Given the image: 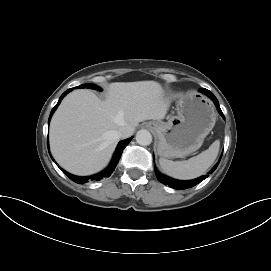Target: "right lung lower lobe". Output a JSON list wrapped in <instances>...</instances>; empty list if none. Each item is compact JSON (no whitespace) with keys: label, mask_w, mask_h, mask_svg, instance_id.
<instances>
[{"label":"right lung lower lobe","mask_w":271,"mask_h":271,"mask_svg":"<svg viewBox=\"0 0 271 271\" xmlns=\"http://www.w3.org/2000/svg\"><path fill=\"white\" fill-rule=\"evenodd\" d=\"M73 88L71 89H68L67 91H65L62 96L60 97L58 103L56 104V106L52 109L51 113H50V116H49V120H48V124L50 122V119H51V116L52 114L54 113V111L56 110L57 106L60 104L61 100L63 99V97L65 95H67L70 91H72ZM132 137L131 138H128L126 140H123V141H120L117 148H116V151L114 153V156H113V159L110 163V165L108 166L107 169H105L104 171H102L101 173L99 174H96V175H93V176H90V177H78V176H74L68 172H66L65 170H63L62 168H60L62 170V172H64L72 181L78 183V184H83L85 182H87L89 179L91 180H97L101 177H108L111 175V173L113 172V170L115 169L120 157H121V154L123 152V149L129 144V142L131 141ZM48 148H49V145H48ZM51 156V155H50ZM52 158V157H51ZM53 159V158H52Z\"/></svg>","instance_id":"1"}]
</instances>
